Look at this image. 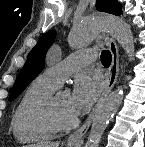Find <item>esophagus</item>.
Segmentation results:
<instances>
[{"mask_svg": "<svg viewBox=\"0 0 145 147\" xmlns=\"http://www.w3.org/2000/svg\"><path fill=\"white\" fill-rule=\"evenodd\" d=\"M108 46L112 55V62L109 67V70L106 74V87L101 94L98 102L96 103L95 107L93 108L92 112L88 116L87 120L85 123L77 129L75 132H73L69 138L68 142L69 143H75V142H80L83 141L84 135L87 133V131L90 128V125L92 123V120L94 118L95 112L98 108L99 103L111 92L112 88L114 87L117 77L119 74V50L118 46L115 42L114 39L110 38L108 42Z\"/></svg>", "mask_w": 145, "mask_h": 147, "instance_id": "obj_1", "label": "esophagus"}]
</instances>
